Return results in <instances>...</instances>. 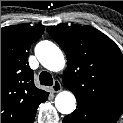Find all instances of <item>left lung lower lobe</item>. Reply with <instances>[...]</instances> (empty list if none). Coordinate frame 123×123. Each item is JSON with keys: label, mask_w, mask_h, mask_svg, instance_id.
I'll list each match as a JSON object with an SVG mask.
<instances>
[{"label": "left lung lower lobe", "mask_w": 123, "mask_h": 123, "mask_svg": "<svg viewBox=\"0 0 123 123\" xmlns=\"http://www.w3.org/2000/svg\"><path fill=\"white\" fill-rule=\"evenodd\" d=\"M120 113L108 108L77 101V109L63 123H116Z\"/></svg>", "instance_id": "0a47b994"}]
</instances>
